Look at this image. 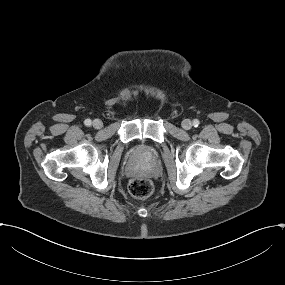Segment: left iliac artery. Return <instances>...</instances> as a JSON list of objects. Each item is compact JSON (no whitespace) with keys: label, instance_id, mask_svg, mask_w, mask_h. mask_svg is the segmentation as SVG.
Returning <instances> with one entry per match:
<instances>
[{"label":"left iliac artery","instance_id":"44dca946","mask_svg":"<svg viewBox=\"0 0 285 285\" xmlns=\"http://www.w3.org/2000/svg\"><path fill=\"white\" fill-rule=\"evenodd\" d=\"M199 124H200L199 120L195 119V120L193 121V126H194V127H198Z\"/></svg>","mask_w":285,"mask_h":285}]
</instances>
